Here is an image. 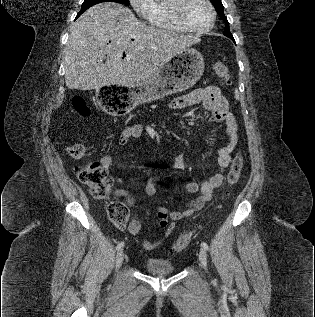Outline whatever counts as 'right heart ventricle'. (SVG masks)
Wrapping results in <instances>:
<instances>
[{
	"label": "right heart ventricle",
	"instance_id": "e07e8e85",
	"mask_svg": "<svg viewBox=\"0 0 315 317\" xmlns=\"http://www.w3.org/2000/svg\"><path fill=\"white\" fill-rule=\"evenodd\" d=\"M174 0H154L146 17L147 22L158 29L182 32L184 29L176 22L172 5Z\"/></svg>",
	"mask_w": 315,
	"mask_h": 317
}]
</instances>
